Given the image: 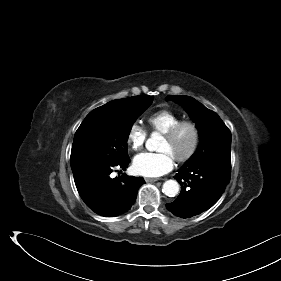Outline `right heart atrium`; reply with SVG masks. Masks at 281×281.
I'll return each instance as SVG.
<instances>
[{
  "label": "right heart atrium",
  "instance_id": "obj_1",
  "mask_svg": "<svg viewBox=\"0 0 281 281\" xmlns=\"http://www.w3.org/2000/svg\"><path fill=\"white\" fill-rule=\"evenodd\" d=\"M147 132L138 122L133 123L127 133L126 142L132 151H139L146 141Z\"/></svg>",
  "mask_w": 281,
  "mask_h": 281
}]
</instances>
